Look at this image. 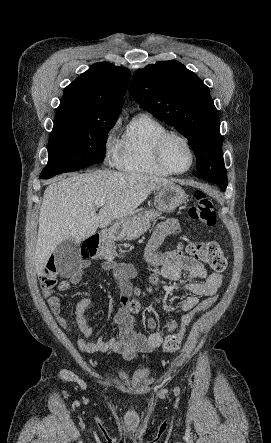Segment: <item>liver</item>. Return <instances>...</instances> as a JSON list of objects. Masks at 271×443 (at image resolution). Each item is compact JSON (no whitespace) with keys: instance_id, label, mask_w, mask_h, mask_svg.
Here are the masks:
<instances>
[{"instance_id":"obj_1","label":"liver","mask_w":271,"mask_h":443,"mask_svg":"<svg viewBox=\"0 0 271 443\" xmlns=\"http://www.w3.org/2000/svg\"><path fill=\"white\" fill-rule=\"evenodd\" d=\"M65 176L68 178L52 182L44 192L34 255L37 275L64 239L80 243L96 233L97 227H107L112 220L125 222L153 190L173 184L165 178L112 170ZM100 200L106 202L96 214L95 202Z\"/></svg>"}]
</instances>
